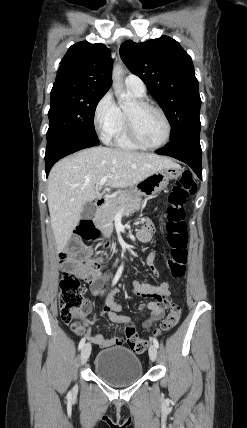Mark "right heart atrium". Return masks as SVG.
Instances as JSON below:
<instances>
[{"label":"right heart atrium","instance_id":"d8ad5b80","mask_svg":"<svg viewBox=\"0 0 247 428\" xmlns=\"http://www.w3.org/2000/svg\"><path fill=\"white\" fill-rule=\"evenodd\" d=\"M119 119V108L112 94L107 92L97 102L93 113L95 129L103 141L109 142L113 139Z\"/></svg>","mask_w":247,"mask_h":428}]
</instances>
